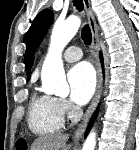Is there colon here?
Masks as SVG:
<instances>
[{
    "label": "colon",
    "instance_id": "5ec220e1",
    "mask_svg": "<svg viewBox=\"0 0 139 150\" xmlns=\"http://www.w3.org/2000/svg\"><path fill=\"white\" fill-rule=\"evenodd\" d=\"M16 150H27V145L25 141H18L16 144Z\"/></svg>",
    "mask_w": 139,
    "mask_h": 150
}]
</instances>
